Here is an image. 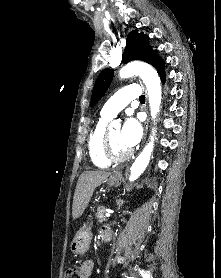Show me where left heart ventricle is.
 Returning <instances> with one entry per match:
<instances>
[{"instance_id": "1", "label": "left heart ventricle", "mask_w": 221, "mask_h": 278, "mask_svg": "<svg viewBox=\"0 0 221 278\" xmlns=\"http://www.w3.org/2000/svg\"><path fill=\"white\" fill-rule=\"evenodd\" d=\"M109 133L113 152L116 155H122L126 153L129 149L126 148L120 141V129H111Z\"/></svg>"}]
</instances>
